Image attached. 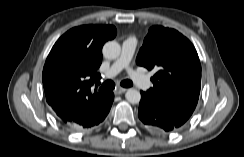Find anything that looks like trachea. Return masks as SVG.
Returning a JSON list of instances; mask_svg holds the SVG:
<instances>
[{
    "label": "trachea",
    "mask_w": 244,
    "mask_h": 157,
    "mask_svg": "<svg viewBox=\"0 0 244 157\" xmlns=\"http://www.w3.org/2000/svg\"><path fill=\"white\" fill-rule=\"evenodd\" d=\"M121 86L123 87H131L133 85L132 81L130 80H123L121 83ZM115 88V83L111 80L105 81L102 86L100 87L99 91L100 92H108L111 91Z\"/></svg>",
    "instance_id": "obj_1"
}]
</instances>
